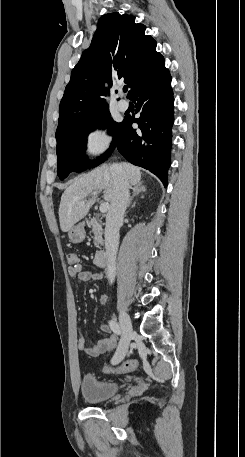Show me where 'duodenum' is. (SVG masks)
<instances>
[{
  "label": "duodenum",
  "mask_w": 245,
  "mask_h": 457,
  "mask_svg": "<svg viewBox=\"0 0 245 457\" xmlns=\"http://www.w3.org/2000/svg\"><path fill=\"white\" fill-rule=\"evenodd\" d=\"M109 262V255L106 251H98L94 258V263L98 267H104Z\"/></svg>",
  "instance_id": "obj_1"
}]
</instances>
